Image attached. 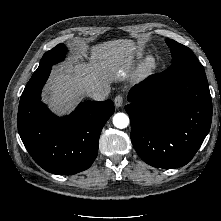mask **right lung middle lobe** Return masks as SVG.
<instances>
[{"label": "right lung middle lobe", "instance_id": "dd1d6c3e", "mask_svg": "<svg viewBox=\"0 0 221 221\" xmlns=\"http://www.w3.org/2000/svg\"><path fill=\"white\" fill-rule=\"evenodd\" d=\"M67 52L66 46L64 44H59L52 50H49L42 57L39 67L36 71L44 70L52 65L62 61Z\"/></svg>", "mask_w": 221, "mask_h": 221}]
</instances>
